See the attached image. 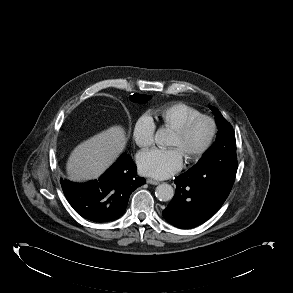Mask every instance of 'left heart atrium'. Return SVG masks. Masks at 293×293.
Wrapping results in <instances>:
<instances>
[{
	"label": "left heart atrium",
	"mask_w": 293,
	"mask_h": 293,
	"mask_svg": "<svg viewBox=\"0 0 293 293\" xmlns=\"http://www.w3.org/2000/svg\"><path fill=\"white\" fill-rule=\"evenodd\" d=\"M138 166L142 174L166 179L183 166V154L178 148L152 149L139 155Z\"/></svg>",
	"instance_id": "1"
}]
</instances>
